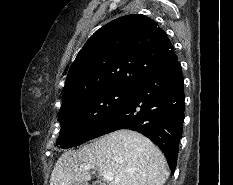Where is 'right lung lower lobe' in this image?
Here are the masks:
<instances>
[{
    "label": "right lung lower lobe",
    "mask_w": 233,
    "mask_h": 185,
    "mask_svg": "<svg viewBox=\"0 0 233 185\" xmlns=\"http://www.w3.org/2000/svg\"><path fill=\"white\" fill-rule=\"evenodd\" d=\"M184 99V78L176 60L131 86L126 99L88 140L119 129L138 131L162 150L173 173L182 136Z\"/></svg>",
    "instance_id": "1"
}]
</instances>
